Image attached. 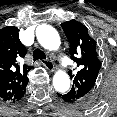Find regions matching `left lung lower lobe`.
Instances as JSON below:
<instances>
[{"label": "left lung lower lobe", "instance_id": "obj_1", "mask_svg": "<svg viewBox=\"0 0 117 117\" xmlns=\"http://www.w3.org/2000/svg\"><path fill=\"white\" fill-rule=\"evenodd\" d=\"M69 93V92H68ZM67 94H59L57 93V95L64 100L65 102H74V100Z\"/></svg>", "mask_w": 117, "mask_h": 117}]
</instances>
